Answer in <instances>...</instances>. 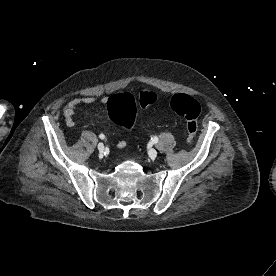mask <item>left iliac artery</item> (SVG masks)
<instances>
[{
  "instance_id": "44dca946",
  "label": "left iliac artery",
  "mask_w": 276,
  "mask_h": 276,
  "mask_svg": "<svg viewBox=\"0 0 276 276\" xmlns=\"http://www.w3.org/2000/svg\"><path fill=\"white\" fill-rule=\"evenodd\" d=\"M151 141H152L153 143H157V142H158V137L153 136V137L151 138Z\"/></svg>"
}]
</instances>
